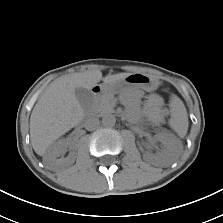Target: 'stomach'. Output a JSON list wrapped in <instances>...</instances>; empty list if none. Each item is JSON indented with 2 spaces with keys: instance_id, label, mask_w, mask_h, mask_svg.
Returning a JSON list of instances; mask_svg holds the SVG:
<instances>
[{
  "instance_id": "1",
  "label": "stomach",
  "mask_w": 223,
  "mask_h": 223,
  "mask_svg": "<svg viewBox=\"0 0 223 223\" xmlns=\"http://www.w3.org/2000/svg\"><path fill=\"white\" fill-rule=\"evenodd\" d=\"M159 85V81L148 74L132 73L126 78L115 82H103L98 85L104 95L124 94L133 89L139 88L145 91H153Z\"/></svg>"
}]
</instances>
